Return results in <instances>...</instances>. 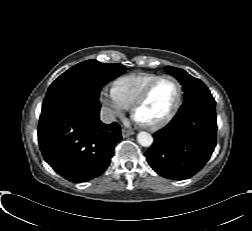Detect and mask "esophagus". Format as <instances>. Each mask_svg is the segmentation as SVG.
I'll return each instance as SVG.
<instances>
[{"label":"esophagus","instance_id":"1","mask_svg":"<svg viewBox=\"0 0 252 231\" xmlns=\"http://www.w3.org/2000/svg\"><path fill=\"white\" fill-rule=\"evenodd\" d=\"M133 134H134V132L132 130L125 129V128H123L121 130V135H122L123 138L128 137V136L133 135Z\"/></svg>","mask_w":252,"mask_h":231}]
</instances>
